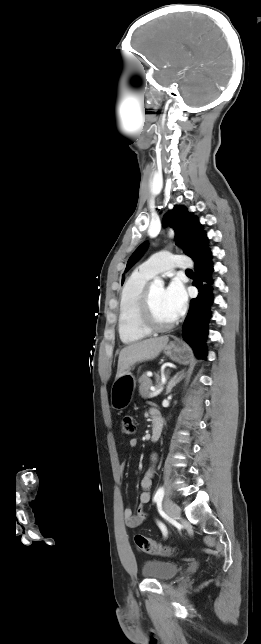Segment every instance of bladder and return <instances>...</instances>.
<instances>
[{"mask_svg":"<svg viewBox=\"0 0 261 644\" xmlns=\"http://www.w3.org/2000/svg\"><path fill=\"white\" fill-rule=\"evenodd\" d=\"M180 568L177 564L167 561L148 560L142 566L144 577L157 581H167L174 578Z\"/></svg>","mask_w":261,"mask_h":644,"instance_id":"obj_1","label":"bladder"}]
</instances>
